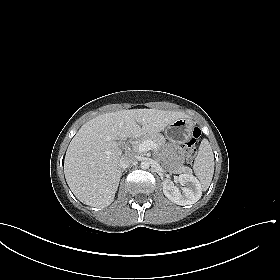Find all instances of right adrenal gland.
<instances>
[{"label": "right adrenal gland", "mask_w": 280, "mask_h": 280, "mask_svg": "<svg viewBox=\"0 0 280 280\" xmlns=\"http://www.w3.org/2000/svg\"><path fill=\"white\" fill-rule=\"evenodd\" d=\"M123 172H124V170L122 169V170H121V173H123Z\"/></svg>", "instance_id": "obj_1"}]
</instances>
